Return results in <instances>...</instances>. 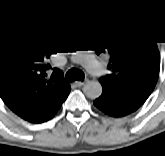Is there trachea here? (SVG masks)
I'll return each mask as SVG.
<instances>
[{
    "instance_id": "1",
    "label": "trachea",
    "mask_w": 165,
    "mask_h": 156,
    "mask_svg": "<svg viewBox=\"0 0 165 156\" xmlns=\"http://www.w3.org/2000/svg\"><path fill=\"white\" fill-rule=\"evenodd\" d=\"M84 72L79 70V69H71L69 70L67 73H66V76H65V81L66 82H72V81H75V80H80V81H83L84 80Z\"/></svg>"
}]
</instances>
